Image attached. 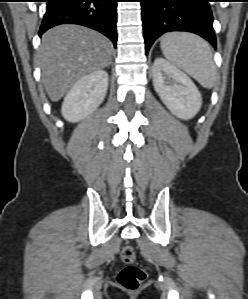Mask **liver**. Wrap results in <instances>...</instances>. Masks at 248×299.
<instances>
[{"label": "liver", "instance_id": "liver-1", "mask_svg": "<svg viewBox=\"0 0 248 299\" xmlns=\"http://www.w3.org/2000/svg\"><path fill=\"white\" fill-rule=\"evenodd\" d=\"M112 52L109 39L92 29L65 24L48 30L38 56L49 98L60 100L79 79L107 67Z\"/></svg>", "mask_w": 248, "mask_h": 299}]
</instances>
